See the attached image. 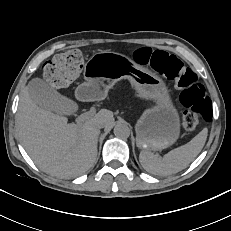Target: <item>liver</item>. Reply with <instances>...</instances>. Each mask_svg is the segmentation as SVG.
<instances>
[{"label":"liver","instance_id":"liver-1","mask_svg":"<svg viewBox=\"0 0 231 231\" xmlns=\"http://www.w3.org/2000/svg\"><path fill=\"white\" fill-rule=\"evenodd\" d=\"M99 124L110 129L114 124L113 112L101 109L83 122L68 123L65 116L37 106L27 87L20 96L17 113L20 140L34 163L52 176L76 177L93 166Z\"/></svg>","mask_w":231,"mask_h":231}]
</instances>
